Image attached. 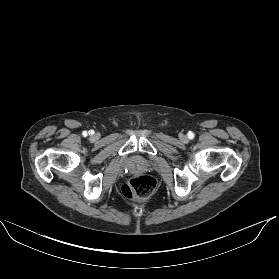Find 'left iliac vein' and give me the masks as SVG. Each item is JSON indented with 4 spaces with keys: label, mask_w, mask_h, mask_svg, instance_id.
Returning a JSON list of instances; mask_svg holds the SVG:
<instances>
[{
    "label": "left iliac vein",
    "mask_w": 279,
    "mask_h": 279,
    "mask_svg": "<svg viewBox=\"0 0 279 279\" xmlns=\"http://www.w3.org/2000/svg\"><path fill=\"white\" fill-rule=\"evenodd\" d=\"M183 140H187V137H186V136H184V137H183Z\"/></svg>",
    "instance_id": "1"
}]
</instances>
